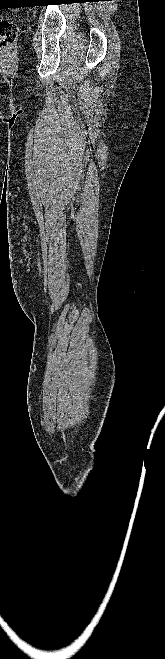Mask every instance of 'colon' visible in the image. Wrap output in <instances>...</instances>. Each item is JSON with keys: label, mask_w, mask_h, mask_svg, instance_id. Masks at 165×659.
Here are the masks:
<instances>
[{"label": "colon", "mask_w": 165, "mask_h": 659, "mask_svg": "<svg viewBox=\"0 0 165 659\" xmlns=\"http://www.w3.org/2000/svg\"><path fill=\"white\" fill-rule=\"evenodd\" d=\"M18 34L17 25L8 20L0 21V48L11 49Z\"/></svg>", "instance_id": "colon-1"}]
</instances>
